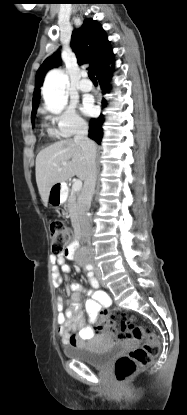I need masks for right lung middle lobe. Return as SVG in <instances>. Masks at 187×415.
Wrapping results in <instances>:
<instances>
[{"label":"right lung middle lobe","mask_w":187,"mask_h":415,"mask_svg":"<svg viewBox=\"0 0 187 415\" xmlns=\"http://www.w3.org/2000/svg\"><path fill=\"white\" fill-rule=\"evenodd\" d=\"M35 115H36V110L32 112V124H34Z\"/></svg>","instance_id":"right-lung-middle-lobe-1"}]
</instances>
